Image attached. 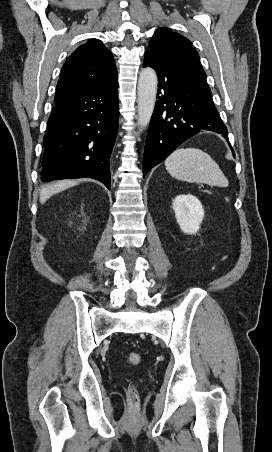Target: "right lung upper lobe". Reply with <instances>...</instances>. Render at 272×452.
<instances>
[{
  "label": "right lung upper lobe",
  "mask_w": 272,
  "mask_h": 452,
  "mask_svg": "<svg viewBox=\"0 0 272 452\" xmlns=\"http://www.w3.org/2000/svg\"><path fill=\"white\" fill-rule=\"evenodd\" d=\"M117 78L112 53L98 39L78 47L62 67L55 106L83 92L105 86Z\"/></svg>",
  "instance_id": "obj_1"
}]
</instances>
